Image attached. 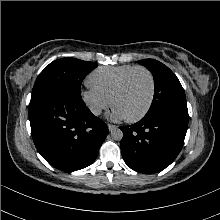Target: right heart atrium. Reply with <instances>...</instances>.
Masks as SVG:
<instances>
[{"instance_id": "d8ad5b80", "label": "right heart atrium", "mask_w": 220, "mask_h": 220, "mask_svg": "<svg viewBox=\"0 0 220 220\" xmlns=\"http://www.w3.org/2000/svg\"><path fill=\"white\" fill-rule=\"evenodd\" d=\"M81 98L88 110L95 116L100 115L111 104L109 97L91 86L81 92Z\"/></svg>"}]
</instances>
